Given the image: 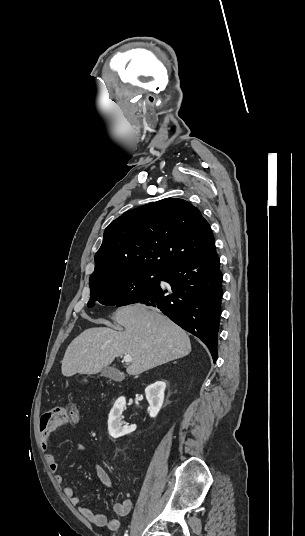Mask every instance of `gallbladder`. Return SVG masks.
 <instances>
[{"instance_id":"gallbladder-1","label":"gallbladder","mask_w":305,"mask_h":536,"mask_svg":"<svg viewBox=\"0 0 305 536\" xmlns=\"http://www.w3.org/2000/svg\"><path fill=\"white\" fill-rule=\"evenodd\" d=\"M121 372L119 370H116V368H109V366H104L101 370L100 376H105V378H111V380H118L120 378ZM83 382H87V380H83Z\"/></svg>"}]
</instances>
